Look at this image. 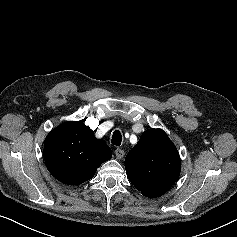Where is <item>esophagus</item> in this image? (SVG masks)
Wrapping results in <instances>:
<instances>
[{
	"label": "esophagus",
	"instance_id": "esophagus-1",
	"mask_svg": "<svg viewBox=\"0 0 237 237\" xmlns=\"http://www.w3.org/2000/svg\"><path fill=\"white\" fill-rule=\"evenodd\" d=\"M124 154H125L124 150H122V149H120V148H117V149L115 150V155H116V158H117V159L123 158Z\"/></svg>",
	"mask_w": 237,
	"mask_h": 237
}]
</instances>
